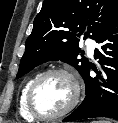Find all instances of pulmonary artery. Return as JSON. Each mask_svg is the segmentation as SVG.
I'll return each mask as SVG.
<instances>
[{
  "mask_svg": "<svg viewBox=\"0 0 118 123\" xmlns=\"http://www.w3.org/2000/svg\"><path fill=\"white\" fill-rule=\"evenodd\" d=\"M86 45H87L88 54H89L90 56H93L94 51H95V49H96V47H97V43H96L93 39L89 38V39H87V41H86Z\"/></svg>",
  "mask_w": 118,
  "mask_h": 123,
  "instance_id": "pulmonary-artery-1",
  "label": "pulmonary artery"
}]
</instances>
